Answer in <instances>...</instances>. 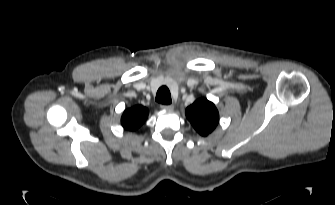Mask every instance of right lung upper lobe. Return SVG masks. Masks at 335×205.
<instances>
[{"instance_id": "right-lung-upper-lobe-1", "label": "right lung upper lobe", "mask_w": 335, "mask_h": 205, "mask_svg": "<svg viewBox=\"0 0 335 205\" xmlns=\"http://www.w3.org/2000/svg\"><path fill=\"white\" fill-rule=\"evenodd\" d=\"M148 113V109L140 105L126 109L121 117L122 126L126 130H136L145 122Z\"/></svg>"}]
</instances>
